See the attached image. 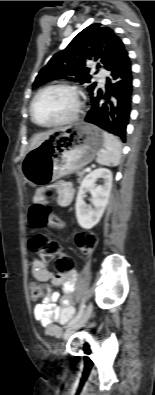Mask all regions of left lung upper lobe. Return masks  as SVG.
<instances>
[{
	"instance_id": "obj_1",
	"label": "left lung upper lobe",
	"mask_w": 155,
	"mask_h": 395,
	"mask_svg": "<svg viewBox=\"0 0 155 395\" xmlns=\"http://www.w3.org/2000/svg\"><path fill=\"white\" fill-rule=\"evenodd\" d=\"M128 55L123 42L114 31L101 24H92L82 30L69 45L56 53L43 67L33 84L34 88L53 79L75 80L81 84L90 83V95L96 90L91 83L88 60L97 62V68L110 70Z\"/></svg>"
}]
</instances>
